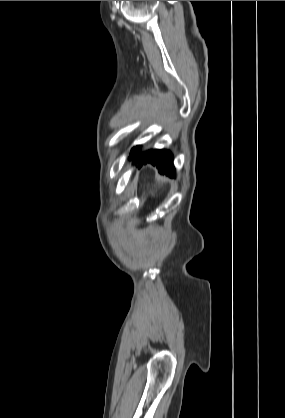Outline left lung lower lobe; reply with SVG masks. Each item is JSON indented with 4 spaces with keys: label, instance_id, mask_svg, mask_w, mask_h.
I'll list each match as a JSON object with an SVG mask.
<instances>
[{
    "label": "left lung lower lobe",
    "instance_id": "1",
    "mask_svg": "<svg viewBox=\"0 0 285 418\" xmlns=\"http://www.w3.org/2000/svg\"><path fill=\"white\" fill-rule=\"evenodd\" d=\"M140 153V146L134 147L129 159L137 160L139 168L146 163H151L158 168L159 173L166 174L171 177L175 174V168L173 166L172 154L167 150H149L143 154Z\"/></svg>",
    "mask_w": 285,
    "mask_h": 418
}]
</instances>
